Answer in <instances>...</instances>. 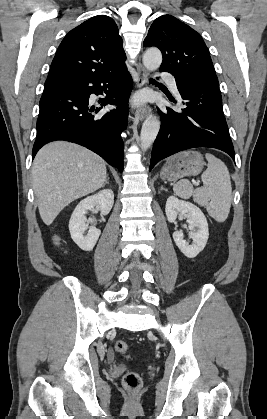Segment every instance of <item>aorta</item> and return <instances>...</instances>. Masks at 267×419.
<instances>
[{
	"mask_svg": "<svg viewBox=\"0 0 267 419\" xmlns=\"http://www.w3.org/2000/svg\"><path fill=\"white\" fill-rule=\"evenodd\" d=\"M162 54L156 48L146 50L143 55V64L146 69L152 71L160 67ZM160 129V120L157 116L150 115L144 121L141 129L140 140L142 150H147L154 142Z\"/></svg>",
	"mask_w": 267,
	"mask_h": 419,
	"instance_id": "1",
	"label": "aorta"
}]
</instances>
